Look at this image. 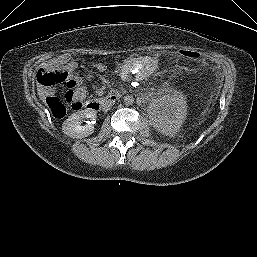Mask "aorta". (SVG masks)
Listing matches in <instances>:
<instances>
[{"instance_id": "aorta-1", "label": "aorta", "mask_w": 257, "mask_h": 257, "mask_svg": "<svg viewBox=\"0 0 257 257\" xmlns=\"http://www.w3.org/2000/svg\"><path fill=\"white\" fill-rule=\"evenodd\" d=\"M124 103L126 105H132L134 103V97L132 95H126L124 97Z\"/></svg>"}]
</instances>
